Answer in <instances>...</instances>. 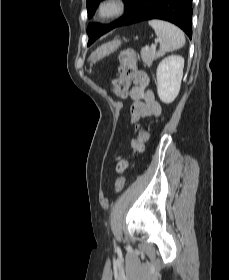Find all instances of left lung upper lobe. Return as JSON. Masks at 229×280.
I'll return each instance as SVG.
<instances>
[{"mask_svg": "<svg viewBox=\"0 0 229 280\" xmlns=\"http://www.w3.org/2000/svg\"><path fill=\"white\" fill-rule=\"evenodd\" d=\"M100 1H102V0H87V11H88L89 18H91L94 15L95 10ZM124 1L128 3V5L125 8V11L128 12L130 10L131 6L133 5V3L135 2V0H124ZM119 21L120 20H118L115 23L110 24V25H101V24H97V23L89 24V26L87 28V34L89 36L88 45L92 44L101 35L105 34L106 32L110 31L111 29H113Z\"/></svg>", "mask_w": 229, "mask_h": 280, "instance_id": "1", "label": "left lung upper lobe"}]
</instances>
